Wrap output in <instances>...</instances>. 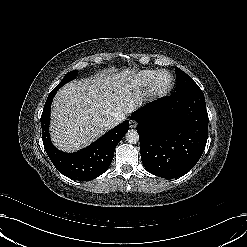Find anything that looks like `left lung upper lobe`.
<instances>
[{"instance_id": "1", "label": "left lung upper lobe", "mask_w": 247, "mask_h": 247, "mask_svg": "<svg viewBox=\"0 0 247 247\" xmlns=\"http://www.w3.org/2000/svg\"><path fill=\"white\" fill-rule=\"evenodd\" d=\"M176 76L178 79V86L175 94H183L191 90L200 89L191 77L179 68H176Z\"/></svg>"}]
</instances>
